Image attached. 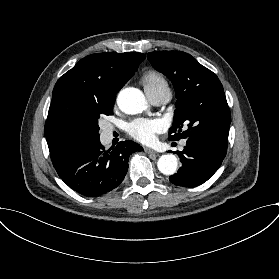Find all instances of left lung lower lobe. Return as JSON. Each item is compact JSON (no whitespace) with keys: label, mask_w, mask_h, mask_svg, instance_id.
<instances>
[{"label":"left lung lower lobe","mask_w":279,"mask_h":279,"mask_svg":"<svg viewBox=\"0 0 279 279\" xmlns=\"http://www.w3.org/2000/svg\"><path fill=\"white\" fill-rule=\"evenodd\" d=\"M226 152V142L212 138L187 139L184 150L178 152L182 167L169 177L171 183L184 187L203 184L220 167Z\"/></svg>","instance_id":"1"}]
</instances>
